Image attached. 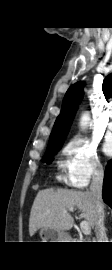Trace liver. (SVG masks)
I'll use <instances>...</instances> for the list:
<instances>
[{
  "mask_svg": "<svg viewBox=\"0 0 112 270\" xmlns=\"http://www.w3.org/2000/svg\"><path fill=\"white\" fill-rule=\"evenodd\" d=\"M74 209L81 212L90 227H95V203L90 192L53 188L40 190L31 208L29 234L33 236L41 228L71 229L74 218L70 212Z\"/></svg>",
  "mask_w": 112,
  "mask_h": 270,
  "instance_id": "obj_1",
  "label": "liver"
}]
</instances>
